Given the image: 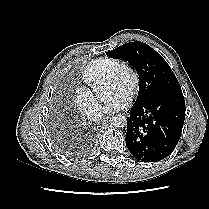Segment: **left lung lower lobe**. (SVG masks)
Wrapping results in <instances>:
<instances>
[{"label": "left lung lower lobe", "instance_id": "1", "mask_svg": "<svg viewBox=\"0 0 209 209\" xmlns=\"http://www.w3.org/2000/svg\"><path fill=\"white\" fill-rule=\"evenodd\" d=\"M184 119L185 100L181 89L134 104L127 118L128 150L144 162L165 159L180 139Z\"/></svg>", "mask_w": 209, "mask_h": 209}]
</instances>
